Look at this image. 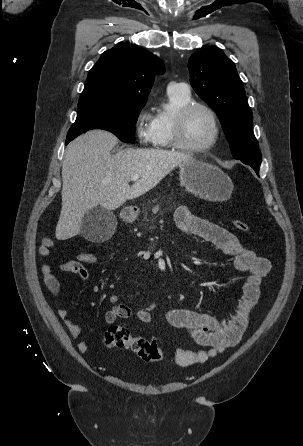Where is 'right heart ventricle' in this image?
<instances>
[{
    "label": "right heart ventricle",
    "mask_w": 303,
    "mask_h": 446,
    "mask_svg": "<svg viewBox=\"0 0 303 446\" xmlns=\"http://www.w3.org/2000/svg\"><path fill=\"white\" fill-rule=\"evenodd\" d=\"M192 102L189 90L168 88L163 109L153 117L152 144L156 148H172V126L175 114Z\"/></svg>",
    "instance_id": "e07e8e85"
}]
</instances>
